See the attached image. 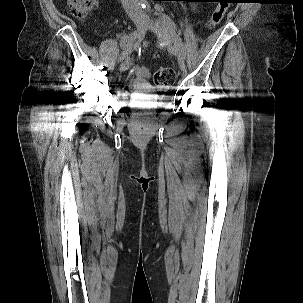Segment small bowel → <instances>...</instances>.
<instances>
[{"label":"small bowel","mask_w":303,"mask_h":303,"mask_svg":"<svg viewBox=\"0 0 303 303\" xmlns=\"http://www.w3.org/2000/svg\"><path fill=\"white\" fill-rule=\"evenodd\" d=\"M135 72L139 75V76H143L146 74V69L144 68H140V67H135Z\"/></svg>","instance_id":"1"}]
</instances>
